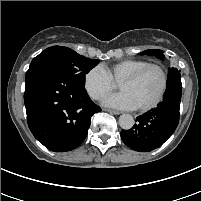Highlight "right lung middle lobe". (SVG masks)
<instances>
[{"label": "right lung middle lobe", "mask_w": 201, "mask_h": 201, "mask_svg": "<svg viewBox=\"0 0 201 201\" xmlns=\"http://www.w3.org/2000/svg\"><path fill=\"white\" fill-rule=\"evenodd\" d=\"M97 59H87L67 47L52 46L36 56L30 67L39 64H48L61 68L76 78L81 86L85 84V74L98 64Z\"/></svg>", "instance_id": "1"}]
</instances>
